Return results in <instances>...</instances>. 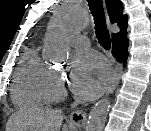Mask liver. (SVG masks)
Returning <instances> with one entry per match:
<instances>
[{
  "instance_id": "6515ba94",
  "label": "liver",
  "mask_w": 151,
  "mask_h": 131,
  "mask_svg": "<svg viewBox=\"0 0 151 131\" xmlns=\"http://www.w3.org/2000/svg\"><path fill=\"white\" fill-rule=\"evenodd\" d=\"M63 116L59 110L32 107L12 114L6 131H60Z\"/></svg>"
}]
</instances>
